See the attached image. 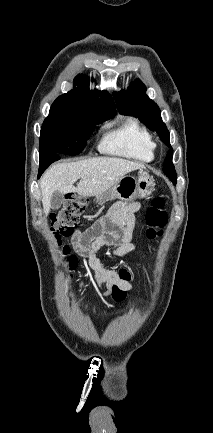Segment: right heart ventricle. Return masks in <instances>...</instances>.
Segmentation results:
<instances>
[{"label": "right heart ventricle", "mask_w": 213, "mask_h": 433, "mask_svg": "<svg viewBox=\"0 0 213 433\" xmlns=\"http://www.w3.org/2000/svg\"><path fill=\"white\" fill-rule=\"evenodd\" d=\"M100 149L109 154L151 161L155 156L156 143L137 120L128 118L104 136Z\"/></svg>", "instance_id": "obj_1"}]
</instances>
